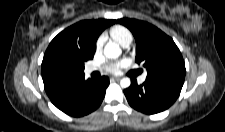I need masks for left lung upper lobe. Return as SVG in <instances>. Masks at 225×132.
<instances>
[{"label":"left lung upper lobe","instance_id":"obj_1","mask_svg":"<svg viewBox=\"0 0 225 132\" xmlns=\"http://www.w3.org/2000/svg\"><path fill=\"white\" fill-rule=\"evenodd\" d=\"M115 22L133 33L136 40L135 61L147 69V78L184 82L185 63L172 38L144 21L122 18Z\"/></svg>","mask_w":225,"mask_h":132}]
</instances>
